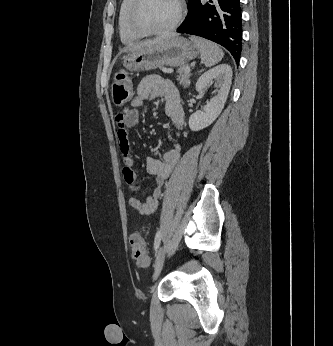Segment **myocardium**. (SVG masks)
I'll use <instances>...</instances> for the list:
<instances>
[{
  "label": "myocardium",
  "mask_w": 333,
  "mask_h": 346,
  "mask_svg": "<svg viewBox=\"0 0 333 346\" xmlns=\"http://www.w3.org/2000/svg\"><path fill=\"white\" fill-rule=\"evenodd\" d=\"M144 2L145 0H134V3L130 10L129 25L131 29L136 33L147 36L163 35L173 31L181 23L185 12L184 0H176L177 12L172 23L165 28L156 30L149 29L140 21L139 13Z\"/></svg>",
  "instance_id": "1"
}]
</instances>
